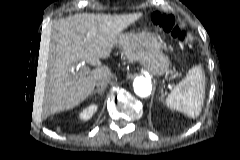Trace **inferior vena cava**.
<instances>
[{
  "instance_id": "obj_1",
  "label": "inferior vena cava",
  "mask_w": 240,
  "mask_h": 160,
  "mask_svg": "<svg viewBox=\"0 0 240 160\" xmlns=\"http://www.w3.org/2000/svg\"><path fill=\"white\" fill-rule=\"evenodd\" d=\"M110 78H106V79H103V80H100L97 82V88L98 89H104L107 85V83L109 82Z\"/></svg>"
}]
</instances>
